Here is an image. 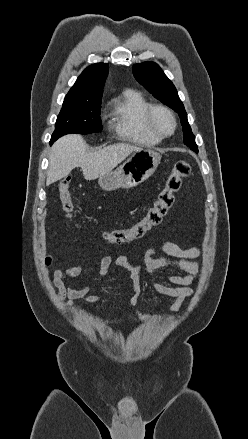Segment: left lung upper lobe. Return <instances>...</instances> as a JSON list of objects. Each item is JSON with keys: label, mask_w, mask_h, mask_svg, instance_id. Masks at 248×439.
<instances>
[{"label": "left lung upper lobe", "mask_w": 248, "mask_h": 439, "mask_svg": "<svg viewBox=\"0 0 248 439\" xmlns=\"http://www.w3.org/2000/svg\"><path fill=\"white\" fill-rule=\"evenodd\" d=\"M135 79L153 96L179 114L183 127L184 143L198 152L195 136L187 120V113L173 83L167 78L158 64L144 62L133 66Z\"/></svg>", "instance_id": "1"}]
</instances>
